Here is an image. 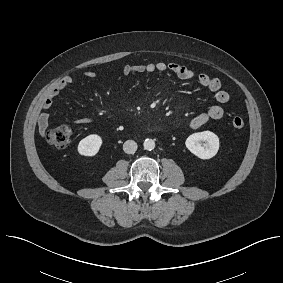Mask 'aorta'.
Instances as JSON below:
<instances>
[{
    "label": "aorta",
    "mask_w": 283,
    "mask_h": 283,
    "mask_svg": "<svg viewBox=\"0 0 283 283\" xmlns=\"http://www.w3.org/2000/svg\"><path fill=\"white\" fill-rule=\"evenodd\" d=\"M143 146L145 150L151 151L155 148V141L153 139H146Z\"/></svg>",
    "instance_id": "obj_1"
}]
</instances>
